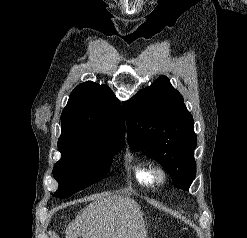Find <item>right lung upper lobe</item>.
<instances>
[{
    "instance_id": "obj_1",
    "label": "right lung upper lobe",
    "mask_w": 247,
    "mask_h": 238,
    "mask_svg": "<svg viewBox=\"0 0 247 238\" xmlns=\"http://www.w3.org/2000/svg\"><path fill=\"white\" fill-rule=\"evenodd\" d=\"M59 139L96 144L124 143L125 122L121 104L112 90L92 81L79 84L61 114Z\"/></svg>"
}]
</instances>
